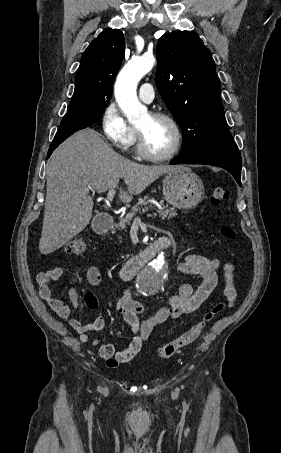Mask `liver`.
I'll return each instance as SVG.
<instances>
[{
    "mask_svg": "<svg viewBox=\"0 0 281 453\" xmlns=\"http://www.w3.org/2000/svg\"><path fill=\"white\" fill-rule=\"evenodd\" d=\"M46 168L47 194L39 241L42 255L54 253L87 227L94 204L89 190L116 188L123 178L127 192L120 190L119 198L130 202L133 194H141L162 174L189 166L132 162L104 142L97 130L83 128L54 150Z\"/></svg>",
    "mask_w": 281,
    "mask_h": 453,
    "instance_id": "6515ba94",
    "label": "liver"
}]
</instances>
